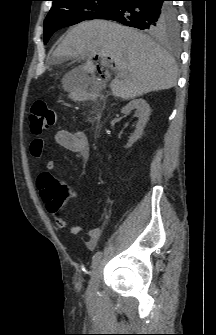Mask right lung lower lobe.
I'll return each mask as SVG.
<instances>
[{
	"label": "right lung lower lobe",
	"instance_id": "1",
	"mask_svg": "<svg viewBox=\"0 0 216 335\" xmlns=\"http://www.w3.org/2000/svg\"><path fill=\"white\" fill-rule=\"evenodd\" d=\"M167 0H117L105 13L96 19H108L124 25L147 30L150 33H159L162 26L170 22L177 24L176 11Z\"/></svg>",
	"mask_w": 216,
	"mask_h": 335
}]
</instances>
